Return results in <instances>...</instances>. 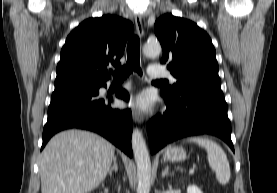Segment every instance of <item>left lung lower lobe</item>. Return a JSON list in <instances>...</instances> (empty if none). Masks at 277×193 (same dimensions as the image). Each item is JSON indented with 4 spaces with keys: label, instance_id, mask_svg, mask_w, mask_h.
<instances>
[{
    "label": "left lung lower lobe",
    "instance_id": "obj_1",
    "mask_svg": "<svg viewBox=\"0 0 277 193\" xmlns=\"http://www.w3.org/2000/svg\"><path fill=\"white\" fill-rule=\"evenodd\" d=\"M164 99L166 112L148 124L152 154L174 140L199 134L215 135L234 151L227 103L220 86H198L184 91L175 100Z\"/></svg>",
    "mask_w": 277,
    "mask_h": 193
}]
</instances>
